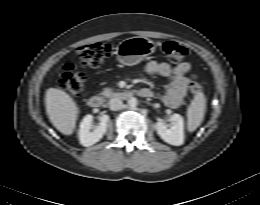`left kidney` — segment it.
<instances>
[{
  "label": "left kidney",
  "mask_w": 260,
  "mask_h": 205,
  "mask_svg": "<svg viewBox=\"0 0 260 205\" xmlns=\"http://www.w3.org/2000/svg\"><path fill=\"white\" fill-rule=\"evenodd\" d=\"M170 126L159 121L155 124L158 135L168 144L180 146L184 143V120L179 114L170 117Z\"/></svg>",
  "instance_id": "1"
}]
</instances>
